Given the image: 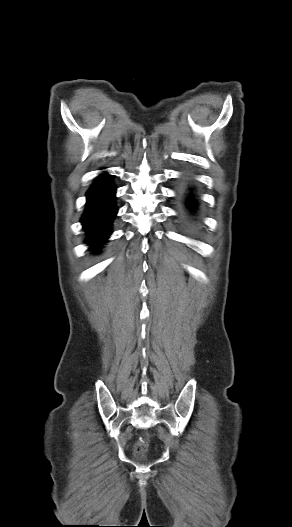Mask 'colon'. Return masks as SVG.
Listing matches in <instances>:
<instances>
[{
	"instance_id": "colon-1",
	"label": "colon",
	"mask_w": 292,
	"mask_h": 527,
	"mask_svg": "<svg viewBox=\"0 0 292 527\" xmlns=\"http://www.w3.org/2000/svg\"><path fill=\"white\" fill-rule=\"evenodd\" d=\"M148 446V439L146 436L141 437L135 445V455L141 457Z\"/></svg>"
}]
</instances>
